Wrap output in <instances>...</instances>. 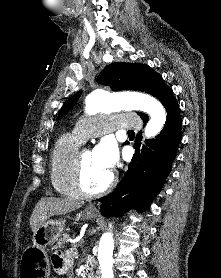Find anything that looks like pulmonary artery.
Masks as SVG:
<instances>
[{"label": "pulmonary artery", "mask_w": 221, "mask_h": 278, "mask_svg": "<svg viewBox=\"0 0 221 278\" xmlns=\"http://www.w3.org/2000/svg\"><path fill=\"white\" fill-rule=\"evenodd\" d=\"M141 125L140 119L134 114L103 115L78 122L73 129V135L81 140H86L115 129H139Z\"/></svg>", "instance_id": "obj_1"}]
</instances>
